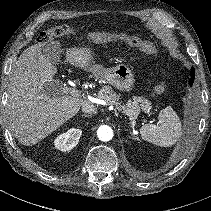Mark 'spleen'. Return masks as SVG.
Wrapping results in <instances>:
<instances>
[{
    "label": "spleen",
    "mask_w": 211,
    "mask_h": 211,
    "mask_svg": "<svg viewBox=\"0 0 211 211\" xmlns=\"http://www.w3.org/2000/svg\"><path fill=\"white\" fill-rule=\"evenodd\" d=\"M182 124L171 106L160 111L157 124H145L140 129L142 139L158 146L169 147L181 136Z\"/></svg>",
    "instance_id": "obj_1"
}]
</instances>
